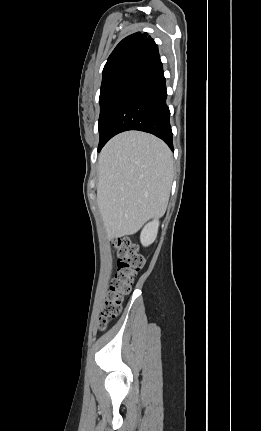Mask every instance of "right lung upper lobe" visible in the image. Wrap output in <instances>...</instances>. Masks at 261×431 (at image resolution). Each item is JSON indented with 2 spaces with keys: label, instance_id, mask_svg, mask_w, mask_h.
<instances>
[{
  "label": "right lung upper lobe",
  "instance_id": "obj_1",
  "mask_svg": "<svg viewBox=\"0 0 261 431\" xmlns=\"http://www.w3.org/2000/svg\"><path fill=\"white\" fill-rule=\"evenodd\" d=\"M160 58L158 46L147 33H134L124 38L110 54L104 69L102 83L127 71H141Z\"/></svg>",
  "mask_w": 261,
  "mask_h": 431
}]
</instances>
